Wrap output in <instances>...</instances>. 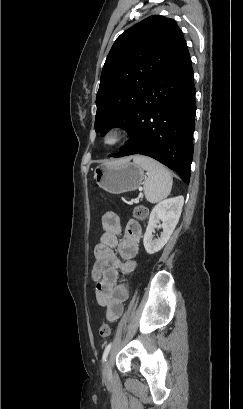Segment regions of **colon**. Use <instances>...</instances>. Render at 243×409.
Segmentation results:
<instances>
[{"instance_id": "colon-1", "label": "colon", "mask_w": 243, "mask_h": 409, "mask_svg": "<svg viewBox=\"0 0 243 409\" xmlns=\"http://www.w3.org/2000/svg\"><path fill=\"white\" fill-rule=\"evenodd\" d=\"M133 215L137 220H144L148 215V209L145 205H136L133 209ZM110 334V326L104 322L99 327V335L101 338H107Z\"/></svg>"}]
</instances>
